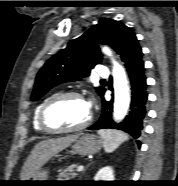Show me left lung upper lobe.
<instances>
[{
	"mask_svg": "<svg viewBox=\"0 0 178 186\" xmlns=\"http://www.w3.org/2000/svg\"><path fill=\"white\" fill-rule=\"evenodd\" d=\"M98 44L113 48L121 56L124 65L142 53L135 33L129 27L113 19L102 18L97 25L71 40L66 48L44 64L36 77L31 100L37 101L61 83L87 76L96 64L101 63L102 53ZM96 91L103 96L105 88L97 87Z\"/></svg>",
	"mask_w": 178,
	"mask_h": 186,
	"instance_id": "left-lung-upper-lobe-1",
	"label": "left lung upper lobe"
}]
</instances>
